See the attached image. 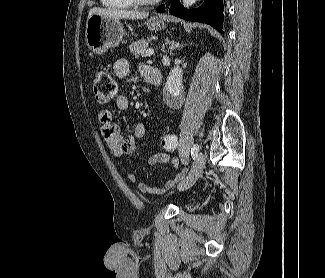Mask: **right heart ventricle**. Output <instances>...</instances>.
<instances>
[{"label": "right heart ventricle", "instance_id": "e07e8e85", "mask_svg": "<svg viewBox=\"0 0 325 278\" xmlns=\"http://www.w3.org/2000/svg\"><path fill=\"white\" fill-rule=\"evenodd\" d=\"M100 2L104 7L117 10L128 9L133 6L129 0H100Z\"/></svg>", "mask_w": 325, "mask_h": 278}]
</instances>
